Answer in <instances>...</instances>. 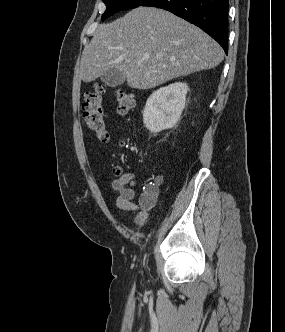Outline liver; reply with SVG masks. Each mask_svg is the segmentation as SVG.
<instances>
[{
  "label": "liver",
  "mask_w": 285,
  "mask_h": 332,
  "mask_svg": "<svg viewBox=\"0 0 285 332\" xmlns=\"http://www.w3.org/2000/svg\"><path fill=\"white\" fill-rule=\"evenodd\" d=\"M223 58L222 47L197 26L163 9L138 7L98 26L83 50L80 77L88 83L118 69L129 87L151 89L215 68Z\"/></svg>",
  "instance_id": "6515ba94"
}]
</instances>
